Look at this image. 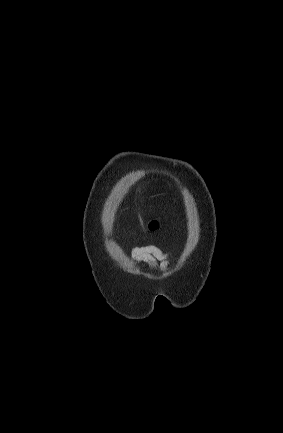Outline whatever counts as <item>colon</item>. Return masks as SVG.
<instances>
[{
    "label": "colon",
    "instance_id": "obj_1",
    "mask_svg": "<svg viewBox=\"0 0 283 433\" xmlns=\"http://www.w3.org/2000/svg\"><path fill=\"white\" fill-rule=\"evenodd\" d=\"M156 227H157V222L151 223V225H150L151 229H155Z\"/></svg>",
    "mask_w": 283,
    "mask_h": 433
}]
</instances>
